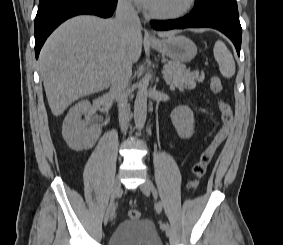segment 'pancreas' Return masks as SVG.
<instances>
[{
    "label": "pancreas",
    "mask_w": 283,
    "mask_h": 245,
    "mask_svg": "<svg viewBox=\"0 0 283 245\" xmlns=\"http://www.w3.org/2000/svg\"><path fill=\"white\" fill-rule=\"evenodd\" d=\"M163 76L167 84L181 91L194 89L197 82H203L205 78L204 72H190L183 64L174 61L165 64Z\"/></svg>",
    "instance_id": "cf45deb5"
}]
</instances>
